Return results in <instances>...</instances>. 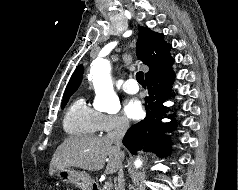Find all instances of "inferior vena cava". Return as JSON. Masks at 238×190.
Wrapping results in <instances>:
<instances>
[{"instance_id": "inferior-vena-cava-1", "label": "inferior vena cava", "mask_w": 238, "mask_h": 190, "mask_svg": "<svg viewBox=\"0 0 238 190\" xmlns=\"http://www.w3.org/2000/svg\"><path fill=\"white\" fill-rule=\"evenodd\" d=\"M129 128V121L126 118H120L117 124V127L114 131L109 132L107 134V138L111 140L115 146L120 149L122 145V139ZM116 190H124V174L122 170V163L120 165L119 173H118V185Z\"/></svg>"}]
</instances>
